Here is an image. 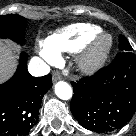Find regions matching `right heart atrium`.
Returning <instances> with one entry per match:
<instances>
[{"mask_svg": "<svg viewBox=\"0 0 136 136\" xmlns=\"http://www.w3.org/2000/svg\"><path fill=\"white\" fill-rule=\"evenodd\" d=\"M42 56L49 62H55L58 59L57 54L53 53L49 49H47L45 46H43V49L41 51Z\"/></svg>", "mask_w": 136, "mask_h": 136, "instance_id": "1", "label": "right heart atrium"}]
</instances>
